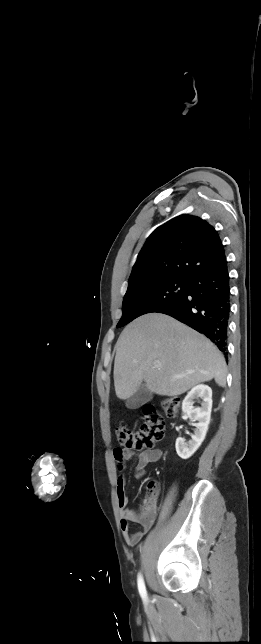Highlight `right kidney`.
Returning a JSON list of instances; mask_svg holds the SVG:
<instances>
[{
    "instance_id": "obj_1",
    "label": "right kidney",
    "mask_w": 261,
    "mask_h": 644,
    "mask_svg": "<svg viewBox=\"0 0 261 644\" xmlns=\"http://www.w3.org/2000/svg\"><path fill=\"white\" fill-rule=\"evenodd\" d=\"M198 398L202 399L201 407L194 408L193 400ZM211 409L212 390L209 386L200 384L188 392L182 403L183 418H190L192 422L197 421V423H194L195 429L191 440L186 442L181 437L176 440V452L180 458H190L202 444L210 423Z\"/></svg>"
}]
</instances>
